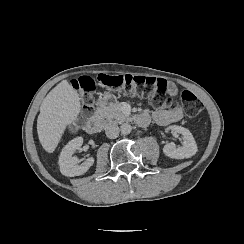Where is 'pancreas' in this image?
Returning a JSON list of instances; mask_svg holds the SVG:
<instances>
[{"label":"pancreas","mask_w":244,"mask_h":244,"mask_svg":"<svg viewBox=\"0 0 244 244\" xmlns=\"http://www.w3.org/2000/svg\"><path fill=\"white\" fill-rule=\"evenodd\" d=\"M95 118L107 120L113 123L125 122L129 116L123 113L122 104L119 102H110L107 105H101L95 112Z\"/></svg>","instance_id":"pancreas-1"}]
</instances>
